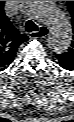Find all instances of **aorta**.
<instances>
[{"instance_id": "762f6f07", "label": "aorta", "mask_w": 74, "mask_h": 122, "mask_svg": "<svg viewBox=\"0 0 74 122\" xmlns=\"http://www.w3.org/2000/svg\"><path fill=\"white\" fill-rule=\"evenodd\" d=\"M23 13L48 30L47 47L57 54L66 52L72 42V27L62 11L53 1H21Z\"/></svg>"}]
</instances>
